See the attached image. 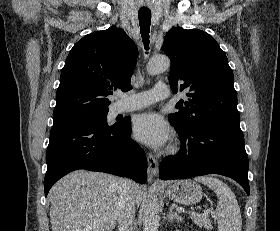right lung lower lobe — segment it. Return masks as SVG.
<instances>
[{
  "label": "right lung lower lobe",
  "mask_w": 280,
  "mask_h": 231,
  "mask_svg": "<svg viewBox=\"0 0 280 231\" xmlns=\"http://www.w3.org/2000/svg\"><path fill=\"white\" fill-rule=\"evenodd\" d=\"M130 134V122L111 129L86 124L53 125L46 153L45 196L61 177L78 169L146 183V155Z\"/></svg>",
  "instance_id": "obj_1"
}]
</instances>
